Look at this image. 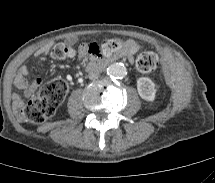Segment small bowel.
Wrapping results in <instances>:
<instances>
[{
  "label": "small bowel",
  "instance_id": "small-bowel-1",
  "mask_svg": "<svg viewBox=\"0 0 215 183\" xmlns=\"http://www.w3.org/2000/svg\"><path fill=\"white\" fill-rule=\"evenodd\" d=\"M126 47L127 48L132 47V42H127ZM48 51H49V45L47 44L41 47L39 50H37L34 53V56L38 57L41 55H45L48 53ZM127 54L131 56L129 52H127ZM86 56H87V53L80 48L79 57L85 58ZM40 84H41L40 79L38 78L32 79V80L30 79V74L26 67H22L15 78L16 87H18L23 91L24 97L26 98L31 97L35 93L37 88L40 86ZM13 100H14V105L16 107H19L23 104V98L17 94L13 96Z\"/></svg>",
  "mask_w": 215,
  "mask_h": 183
}]
</instances>
